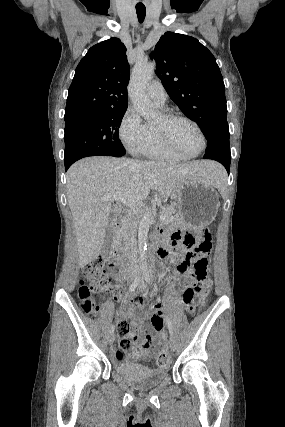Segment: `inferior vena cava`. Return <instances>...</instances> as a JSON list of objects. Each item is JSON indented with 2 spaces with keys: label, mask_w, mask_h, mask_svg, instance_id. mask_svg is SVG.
<instances>
[{
  "label": "inferior vena cava",
  "mask_w": 285,
  "mask_h": 427,
  "mask_svg": "<svg viewBox=\"0 0 285 427\" xmlns=\"http://www.w3.org/2000/svg\"><path fill=\"white\" fill-rule=\"evenodd\" d=\"M126 218H127V224L125 226V231H124V241L126 246L128 247V250L131 252L132 256H134V258L131 260L128 266V269L130 271L136 272L138 270V266L135 259V256L137 253V241H136V234L134 229V222H133V218L131 216L130 210L127 211Z\"/></svg>",
  "instance_id": "obj_1"
}]
</instances>
